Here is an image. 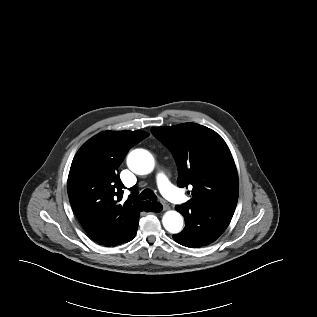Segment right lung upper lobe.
Here are the masks:
<instances>
[{"label":"right lung upper lobe","instance_id":"obj_1","mask_svg":"<svg viewBox=\"0 0 317 317\" xmlns=\"http://www.w3.org/2000/svg\"><path fill=\"white\" fill-rule=\"evenodd\" d=\"M148 135L143 131H105L76 153L68 176V195L88 234L97 230L116 243L129 230L132 218L151 203L132 194L122 201L125 186L117 174L129 149Z\"/></svg>","mask_w":317,"mask_h":317}]
</instances>
